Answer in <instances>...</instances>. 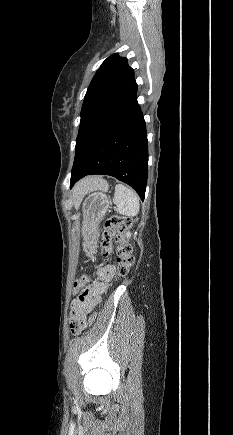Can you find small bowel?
<instances>
[{"mask_svg": "<svg viewBox=\"0 0 233 435\" xmlns=\"http://www.w3.org/2000/svg\"><path fill=\"white\" fill-rule=\"evenodd\" d=\"M114 276V268L110 265H100L95 273L97 282L83 286L80 280L73 284L74 293H79L78 297L71 303L69 316L70 327L73 332L83 329L88 323L90 309L99 302L98 293L105 288Z\"/></svg>", "mask_w": 233, "mask_h": 435, "instance_id": "small-bowel-1", "label": "small bowel"}]
</instances>
